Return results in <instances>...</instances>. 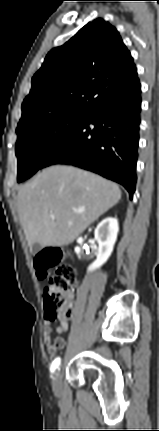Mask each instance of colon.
I'll return each instance as SVG.
<instances>
[{"label":"colon","instance_id":"obj_1","mask_svg":"<svg viewBox=\"0 0 159 431\" xmlns=\"http://www.w3.org/2000/svg\"><path fill=\"white\" fill-rule=\"evenodd\" d=\"M65 255L58 248H48L36 254L34 266L39 278H46L51 270L43 299L45 314L48 320H54L59 315L67 317L70 310L66 297L71 287L76 283V272L72 266L64 263Z\"/></svg>","mask_w":159,"mask_h":431}]
</instances>
